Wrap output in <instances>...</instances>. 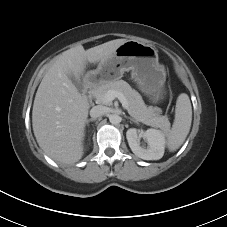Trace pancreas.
Here are the masks:
<instances>
[{
    "label": "pancreas",
    "instance_id": "pancreas-1",
    "mask_svg": "<svg viewBox=\"0 0 227 227\" xmlns=\"http://www.w3.org/2000/svg\"><path fill=\"white\" fill-rule=\"evenodd\" d=\"M109 90L121 92L128 102V113L147 125L160 128L163 131H168L170 122L167 116H159L161 110L158 107H147L141 95L124 80L111 81L102 84L92 91L93 96L98 103L109 104L104 101V96Z\"/></svg>",
    "mask_w": 227,
    "mask_h": 227
}]
</instances>
